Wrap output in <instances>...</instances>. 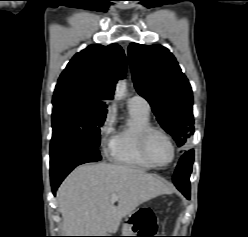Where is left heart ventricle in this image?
Wrapping results in <instances>:
<instances>
[{
    "instance_id": "obj_1",
    "label": "left heart ventricle",
    "mask_w": 248,
    "mask_h": 237,
    "mask_svg": "<svg viewBox=\"0 0 248 237\" xmlns=\"http://www.w3.org/2000/svg\"><path fill=\"white\" fill-rule=\"evenodd\" d=\"M148 153L152 161L159 165L166 164L171 158V146L164 136L153 133L148 139Z\"/></svg>"
}]
</instances>
